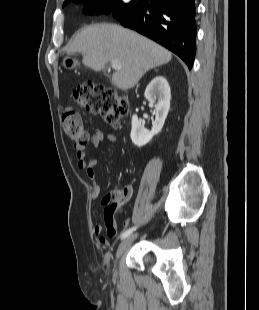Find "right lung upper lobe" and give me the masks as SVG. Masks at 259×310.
<instances>
[{
	"label": "right lung upper lobe",
	"mask_w": 259,
	"mask_h": 310,
	"mask_svg": "<svg viewBox=\"0 0 259 310\" xmlns=\"http://www.w3.org/2000/svg\"><path fill=\"white\" fill-rule=\"evenodd\" d=\"M67 1H71V0H66L65 2H67ZM73 1V0H72ZM86 1H96V0H86Z\"/></svg>",
	"instance_id": "cb5924a9"
}]
</instances>
